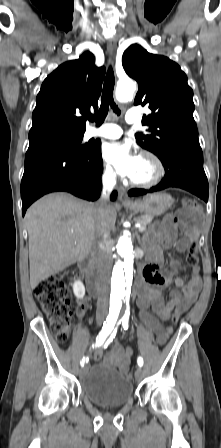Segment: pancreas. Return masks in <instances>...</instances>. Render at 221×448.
Masks as SVG:
<instances>
[{
	"label": "pancreas",
	"instance_id": "cf45deb5",
	"mask_svg": "<svg viewBox=\"0 0 221 448\" xmlns=\"http://www.w3.org/2000/svg\"><path fill=\"white\" fill-rule=\"evenodd\" d=\"M136 223H139L141 225H143L144 227H146L147 225H150V223L153 220V216H140L134 219Z\"/></svg>",
	"mask_w": 221,
	"mask_h": 448
}]
</instances>
